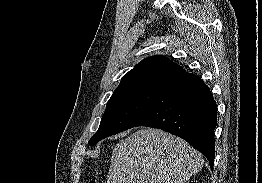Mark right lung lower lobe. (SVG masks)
Masks as SVG:
<instances>
[{
	"label": "right lung lower lobe",
	"mask_w": 262,
	"mask_h": 183,
	"mask_svg": "<svg viewBox=\"0 0 262 183\" xmlns=\"http://www.w3.org/2000/svg\"><path fill=\"white\" fill-rule=\"evenodd\" d=\"M216 125L217 106L210 89L187 73L161 88L123 131L147 126L172 133L200 151L213 169Z\"/></svg>",
	"instance_id": "1"
}]
</instances>
